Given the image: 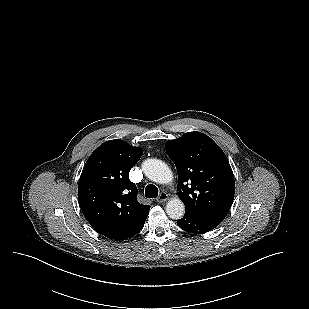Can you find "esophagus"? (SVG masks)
I'll use <instances>...</instances> for the list:
<instances>
[{"label":"esophagus","instance_id":"34e87169","mask_svg":"<svg viewBox=\"0 0 309 309\" xmlns=\"http://www.w3.org/2000/svg\"><path fill=\"white\" fill-rule=\"evenodd\" d=\"M169 199V196L166 192L162 191L158 198L156 199L158 203H163Z\"/></svg>","mask_w":309,"mask_h":309}]
</instances>
